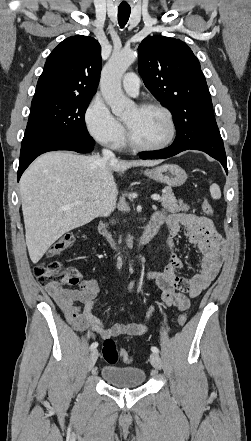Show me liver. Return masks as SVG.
<instances>
[{"label":"liver","mask_w":251,"mask_h":441,"mask_svg":"<svg viewBox=\"0 0 251 441\" xmlns=\"http://www.w3.org/2000/svg\"><path fill=\"white\" fill-rule=\"evenodd\" d=\"M160 160H106L53 151L39 156L20 179L30 259L37 263L63 234L111 213L118 189L113 172L155 166ZM76 201L83 204L76 205Z\"/></svg>","instance_id":"1"}]
</instances>
